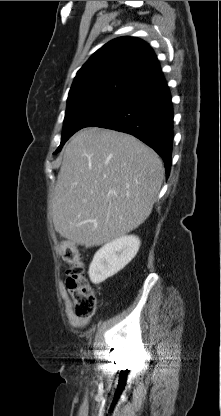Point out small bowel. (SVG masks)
Returning a JSON list of instances; mask_svg holds the SVG:
<instances>
[{
	"label": "small bowel",
	"mask_w": 221,
	"mask_h": 416,
	"mask_svg": "<svg viewBox=\"0 0 221 416\" xmlns=\"http://www.w3.org/2000/svg\"><path fill=\"white\" fill-rule=\"evenodd\" d=\"M60 294L64 300L65 312L69 319V323L74 327H84L89 322L90 318H79L74 315L69 293L63 283L60 284Z\"/></svg>",
	"instance_id": "c3829d8e"
}]
</instances>
